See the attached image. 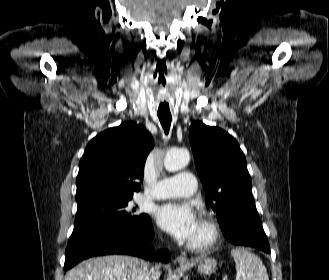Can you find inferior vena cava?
I'll return each instance as SVG.
<instances>
[{"label":"inferior vena cava","instance_id":"obj_1","mask_svg":"<svg viewBox=\"0 0 329 280\" xmlns=\"http://www.w3.org/2000/svg\"><path fill=\"white\" fill-rule=\"evenodd\" d=\"M157 270V267L155 268H151L150 270L148 269V266L146 265L144 267V270L142 272V274L140 275L139 280H154V274L155 271Z\"/></svg>","mask_w":329,"mask_h":280}]
</instances>
